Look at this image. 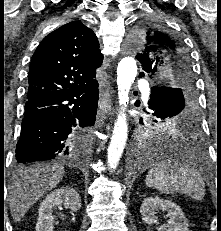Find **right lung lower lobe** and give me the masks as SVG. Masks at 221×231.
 Segmentation results:
<instances>
[{"instance_id": "obj_1", "label": "right lung lower lobe", "mask_w": 221, "mask_h": 231, "mask_svg": "<svg viewBox=\"0 0 221 231\" xmlns=\"http://www.w3.org/2000/svg\"><path fill=\"white\" fill-rule=\"evenodd\" d=\"M98 82L83 88L51 91L28 98L21 136L16 146L18 163L82 155L86 130L95 123Z\"/></svg>"}]
</instances>
